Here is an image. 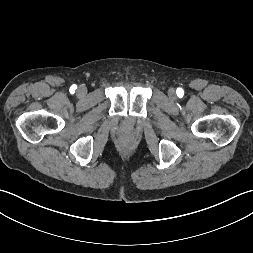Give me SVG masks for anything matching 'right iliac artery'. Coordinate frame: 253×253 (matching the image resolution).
<instances>
[{
    "label": "right iliac artery",
    "instance_id": "obj_1",
    "mask_svg": "<svg viewBox=\"0 0 253 253\" xmlns=\"http://www.w3.org/2000/svg\"><path fill=\"white\" fill-rule=\"evenodd\" d=\"M76 88H77L76 85H72V86L70 87V92H71V93H74Z\"/></svg>",
    "mask_w": 253,
    "mask_h": 253
}]
</instances>
